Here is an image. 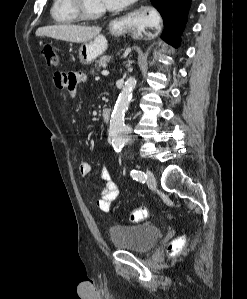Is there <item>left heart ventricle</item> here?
I'll use <instances>...</instances> for the list:
<instances>
[{"label": "left heart ventricle", "mask_w": 247, "mask_h": 299, "mask_svg": "<svg viewBox=\"0 0 247 299\" xmlns=\"http://www.w3.org/2000/svg\"><path fill=\"white\" fill-rule=\"evenodd\" d=\"M86 2L90 10L96 11L100 9H105L101 0H86Z\"/></svg>", "instance_id": "obj_1"}]
</instances>
